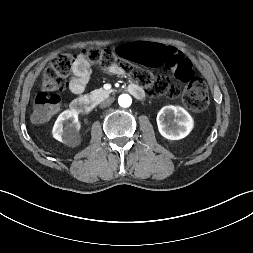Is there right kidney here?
Returning <instances> with one entry per match:
<instances>
[{
	"label": "right kidney",
	"instance_id": "right-kidney-1",
	"mask_svg": "<svg viewBox=\"0 0 253 253\" xmlns=\"http://www.w3.org/2000/svg\"><path fill=\"white\" fill-rule=\"evenodd\" d=\"M79 130L78 113L74 110H65L58 116L52 134L56 140L69 146H75L80 142Z\"/></svg>",
	"mask_w": 253,
	"mask_h": 253
}]
</instances>
